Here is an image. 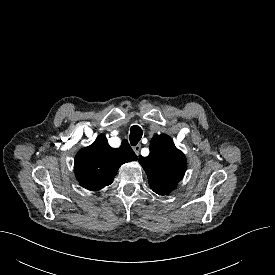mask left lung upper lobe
Listing matches in <instances>:
<instances>
[{"mask_svg": "<svg viewBox=\"0 0 275 275\" xmlns=\"http://www.w3.org/2000/svg\"><path fill=\"white\" fill-rule=\"evenodd\" d=\"M139 163L144 168L149 185L159 195H167L182 180L187 161L185 155L175 147L171 137L156 135L150 143V154L139 156Z\"/></svg>", "mask_w": 275, "mask_h": 275, "instance_id": "5c2ea615", "label": "left lung upper lobe"}]
</instances>
